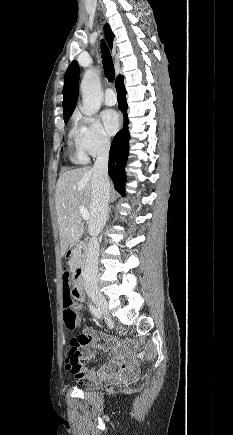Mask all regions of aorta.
Listing matches in <instances>:
<instances>
[{
  "instance_id": "aorta-1",
  "label": "aorta",
  "mask_w": 233,
  "mask_h": 435,
  "mask_svg": "<svg viewBox=\"0 0 233 435\" xmlns=\"http://www.w3.org/2000/svg\"><path fill=\"white\" fill-rule=\"evenodd\" d=\"M80 89L83 101L81 112L88 116L96 114L103 100L98 72L87 70L81 81Z\"/></svg>"
}]
</instances>
